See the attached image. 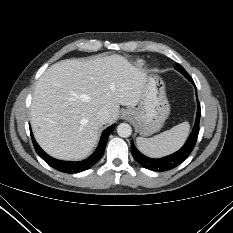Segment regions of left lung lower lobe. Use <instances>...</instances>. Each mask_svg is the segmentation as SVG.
Here are the masks:
<instances>
[{
    "label": "left lung lower lobe",
    "mask_w": 233,
    "mask_h": 233,
    "mask_svg": "<svg viewBox=\"0 0 233 233\" xmlns=\"http://www.w3.org/2000/svg\"><path fill=\"white\" fill-rule=\"evenodd\" d=\"M187 79L190 80L194 84L192 78L189 77ZM197 102H198V109H197V115H196V121H195L194 128L187 142L177 152L169 156L160 158V159H152L140 153L132 142L131 152L134 158L137 160V162L140 165L152 171H165V170H170V169L177 167L190 155V153L192 152L196 144L198 133H199V121H200L201 111H200L199 101L197 100Z\"/></svg>",
    "instance_id": "left-lung-lower-lobe-1"
}]
</instances>
